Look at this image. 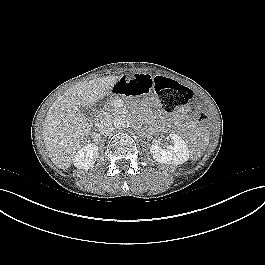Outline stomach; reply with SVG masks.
<instances>
[{"label": "stomach", "instance_id": "obj_1", "mask_svg": "<svg viewBox=\"0 0 265 265\" xmlns=\"http://www.w3.org/2000/svg\"><path fill=\"white\" fill-rule=\"evenodd\" d=\"M150 76L144 74H130L120 76L114 82V91L119 96H128L130 98H139L144 93L149 92Z\"/></svg>", "mask_w": 265, "mask_h": 265}]
</instances>
